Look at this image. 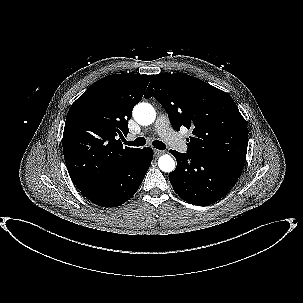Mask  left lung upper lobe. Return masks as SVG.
I'll return each mask as SVG.
<instances>
[{"label": "left lung upper lobe", "mask_w": 303, "mask_h": 303, "mask_svg": "<svg viewBox=\"0 0 303 303\" xmlns=\"http://www.w3.org/2000/svg\"><path fill=\"white\" fill-rule=\"evenodd\" d=\"M162 104L176 131L192 130L188 152L245 160L247 124L233 99L224 91L184 73L155 75L145 97Z\"/></svg>", "instance_id": "5c2ea615"}]
</instances>
